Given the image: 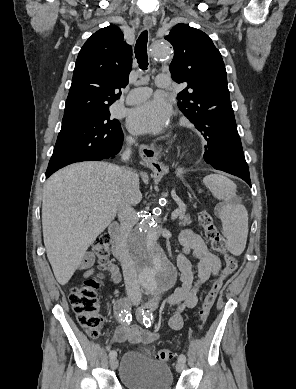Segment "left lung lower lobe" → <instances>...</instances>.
I'll list each match as a JSON object with an SVG mask.
<instances>
[{
	"mask_svg": "<svg viewBox=\"0 0 296 389\" xmlns=\"http://www.w3.org/2000/svg\"><path fill=\"white\" fill-rule=\"evenodd\" d=\"M200 129L204 138L201 158L215 169L240 177L251 187L231 102L210 110Z\"/></svg>",
	"mask_w": 296,
	"mask_h": 389,
	"instance_id": "1",
	"label": "left lung lower lobe"
}]
</instances>
